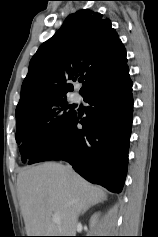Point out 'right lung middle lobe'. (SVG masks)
<instances>
[{
    "label": "right lung middle lobe",
    "instance_id": "dd1d6c3e",
    "mask_svg": "<svg viewBox=\"0 0 158 237\" xmlns=\"http://www.w3.org/2000/svg\"><path fill=\"white\" fill-rule=\"evenodd\" d=\"M66 99L48 104L41 111L16 118V141L20 144L23 162L33 158L39 149L75 113Z\"/></svg>",
    "mask_w": 158,
    "mask_h": 237
}]
</instances>
